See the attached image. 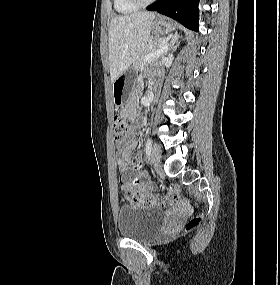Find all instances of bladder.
<instances>
[{
	"label": "bladder",
	"mask_w": 280,
	"mask_h": 285,
	"mask_svg": "<svg viewBox=\"0 0 280 285\" xmlns=\"http://www.w3.org/2000/svg\"><path fill=\"white\" fill-rule=\"evenodd\" d=\"M164 213L151 206H121L117 215L119 234L138 241L156 236L163 225Z\"/></svg>",
	"instance_id": "obj_1"
}]
</instances>
